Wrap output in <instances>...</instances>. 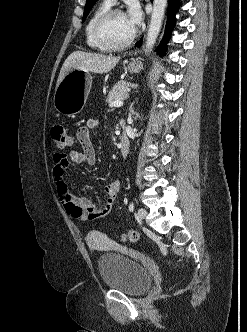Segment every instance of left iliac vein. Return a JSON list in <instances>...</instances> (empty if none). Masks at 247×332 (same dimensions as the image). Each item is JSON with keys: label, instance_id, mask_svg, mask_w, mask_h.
Listing matches in <instances>:
<instances>
[{"label": "left iliac vein", "instance_id": "4c4485c4", "mask_svg": "<svg viewBox=\"0 0 247 332\" xmlns=\"http://www.w3.org/2000/svg\"><path fill=\"white\" fill-rule=\"evenodd\" d=\"M147 216V211L144 208L138 209V217L143 220Z\"/></svg>", "mask_w": 247, "mask_h": 332}]
</instances>
